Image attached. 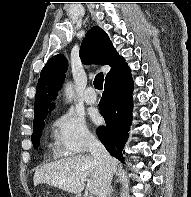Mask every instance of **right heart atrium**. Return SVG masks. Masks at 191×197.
Listing matches in <instances>:
<instances>
[{"mask_svg":"<svg viewBox=\"0 0 191 197\" xmlns=\"http://www.w3.org/2000/svg\"><path fill=\"white\" fill-rule=\"evenodd\" d=\"M53 152L69 156L85 151L94 141V135L84 120L72 111L59 114L53 121Z\"/></svg>","mask_w":191,"mask_h":197,"instance_id":"obj_1","label":"right heart atrium"}]
</instances>
